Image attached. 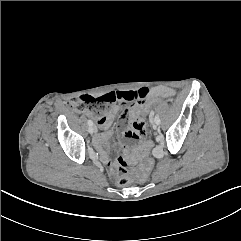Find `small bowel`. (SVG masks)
Listing matches in <instances>:
<instances>
[{"label":"small bowel","instance_id":"1","mask_svg":"<svg viewBox=\"0 0 241 241\" xmlns=\"http://www.w3.org/2000/svg\"><path fill=\"white\" fill-rule=\"evenodd\" d=\"M118 102L117 106L112 107L108 114L97 119L99 126L102 129H108L112 123L113 117L116 114L118 107H123L121 118L123 122L120 125L122 137L125 140H139L144 137L145 125L139 118L140 105L145 101H150L152 98L170 97L175 94V91L169 87L159 86L149 90L146 86H141L135 91L112 92ZM124 103V104H123ZM109 138V133H99L94 138V146L99 153L101 162L108 168L111 176H114L118 171L115 164H112L105 149V141ZM124 154L133 157L136 154L135 149L124 146Z\"/></svg>","mask_w":241,"mask_h":241}]
</instances>
